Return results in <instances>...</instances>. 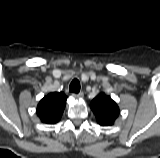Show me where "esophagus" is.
Segmentation results:
<instances>
[{"label": "esophagus", "instance_id": "esophagus-1", "mask_svg": "<svg viewBox=\"0 0 160 158\" xmlns=\"http://www.w3.org/2000/svg\"><path fill=\"white\" fill-rule=\"evenodd\" d=\"M72 96H73L74 98H82V97H83V92L73 93Z\"/></svg>", "mask_w": 160, "mask_h": 158}]
</instances>
